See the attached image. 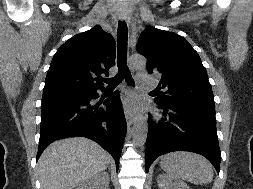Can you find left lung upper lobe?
<instances>
[{
  "label": "left lung upper lobe",
  "instance_id": "left-lung-upper-lobe-1",
  "mask_svg": "<svg viewBox=\"0 0 253 189\" xmlns=\"http://www.w3.org/2000/svg\"><path fill=\"white\" fill-rule=\"evenodd\" d=\"M137 51L147 59L149 73H159L155 102L198 107L215 112L212 88L198 53L182 36L148 26L139 36Z\"/></svg>",
  "mask_w": 253,
  "mask_h": 189
}]
</instances>
